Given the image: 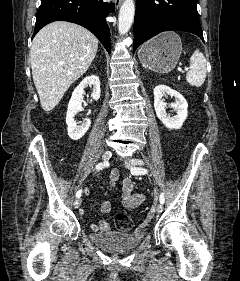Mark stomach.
<instances>
[{"mask_svg": "<svg viewBox=\"0 0 240 281\" xmlns=\"http://www.w3.org/2000/svg\"><path fill=\"white\" fill-rule=\"evenodd\" d=\"M182 42L175 32H164L146 42L139 50L142 65L158 73H168L177 64Z\"/></svg>", "mask_w": 240, "mask_h": 281, "instance_id": "0dacf381", "label": "stomach"}]
</instances>
